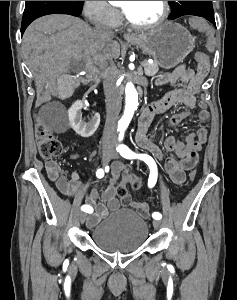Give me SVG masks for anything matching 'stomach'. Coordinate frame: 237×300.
Instances as JSON below:
<instances>
[{"mask_svg": "<svg viewBox=\"0 0 237 300\" xmlns=\"http://www.w3.org/2000/svg\"><path fill=\"white\" fill-rule=\"evenodd\" d=\"M131 45L153 57L162 69H173L179 65L195 47L191 33L174 21H166L148 31L133 33Z\"/></svg>", "mask_w": 237, "mask_h": 300, "instance_id": "0dacf381", "label": "stomach"}]
</instances>
